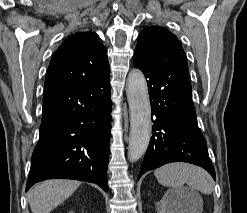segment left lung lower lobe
I'll list each match as a JSON object with an SVG mask.
<instances>
[{"label":"left lung lower lobe","instance_id":"1","mask_svg":"<svg viewBox=\"0 0 247 213\" xmlns=\"http://www.w3.org/2000/svg\"><path fill=\"white\" fill-rule=\"evenodd\" d=\"M148 79L152 137L139 177L166 163L183 161L199 165L215 180L206 140L197 123L186 66H139Z\"/></svg>","mask_w":247,"mask_h":213}]
</instances>
